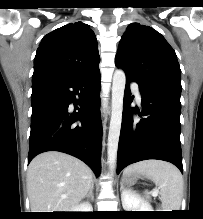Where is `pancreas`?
Listing matches in <instances>:
<instances>
[{
  "label": "pancreas",
  "mask_w": 203,
  "mask_h": 219,
  "mask_svg": "<svg viewBox=\"0 0 203 219\" xmlns=\"http://www.w3.org/2000/svg\"><path fill=\"white\" fill-rule=\"evenodd\" d=\"M145 197H146L147 199H150V196H149V195H146Z\"/></svg>",
  "instance_id": "obj_1"
}]
</instances>
